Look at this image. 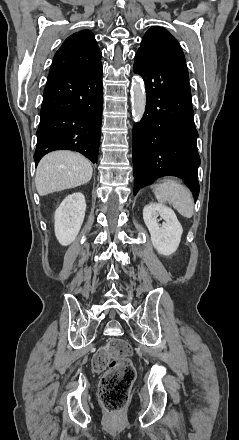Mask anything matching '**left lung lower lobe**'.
I'll use <instances>...</instances> for the list:
<instances>
[{
  "label": "left lung lower lobe",
  "mask_w": 239,
  "mask_h": 440,
  "mask_svg": "<svg viewBox=\"0 0 239 440\" xmlns=\"http://www.w3.org/2000/svg\"><path fill=\"white\" fill-rule=\"evenodd\" d=\"M133 70L147 92L144 117L133 128L134 194L146 181L176 176L190 184L197 199L198 132L186 63L137 52Z\"/></svg>",
  "instance_id": "left-lung-lower-lobe-1"
}]
</instances>
